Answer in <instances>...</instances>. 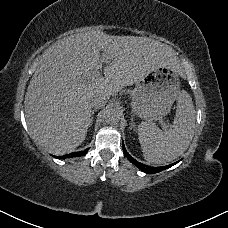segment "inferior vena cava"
<instances>
[{"instance_id": "inferior-vena-cava-1", "label": "inferior vena cava", "mask_w": 228, "mask_h": 228, "mask_svg": "<svg viewBox=\"0 0 228 228\" xmlns=\"http://www.w3.org/2000/svg\"><path fill=\"white\" fill-rule=\"evenodd\" d=\"M90 107L91 108H94V109H102L105 107L106 103H107V100H108V97L106 96H102L101 94L99 93H91L90 94Z\"/></svg>"}]
</instances>
